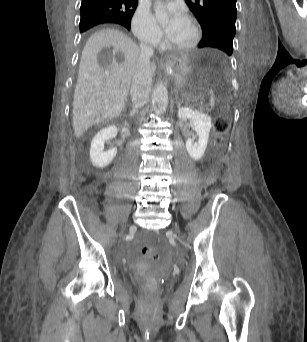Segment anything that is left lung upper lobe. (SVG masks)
Here are the masks:
<instances>
[{"label":"left lung upper lobe","instance_id":"1","mask_svg":"<svg viewBox=\"0 0 307 342\" xmlns=\"http://www.w3.org/2000/svg\"><path fill=\"white\" fill-rule=\"evenodd\" d=\"M203 31L199 48H217L227 55L233 53L236 0H185Z\"/></svg>","mask_w":307,"mask_h":342}]
</instances>
